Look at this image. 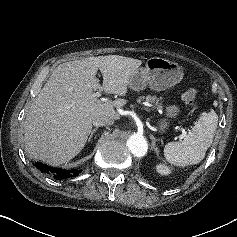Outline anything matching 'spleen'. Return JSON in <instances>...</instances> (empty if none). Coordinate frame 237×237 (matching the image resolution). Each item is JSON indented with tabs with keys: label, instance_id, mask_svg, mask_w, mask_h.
<instances>
[{
	"label": "spleen",
	"instance_id": "spleen-1",
	"mask_svg": "<svg viewBox=\"0 0 237 237\" xmlns=\"http://www.w3.org/2000/svg\"><path fill=\"white\" fill-rule=\"evenodd\" d=\"M217 124L218 115L214 110L203 113L183 141L170 142L165 146L167 162L179 167L200 163L212 143Z\"/></svg>",
	"mask_w": 237,
	"mask_h": 237
}]
</instances>
